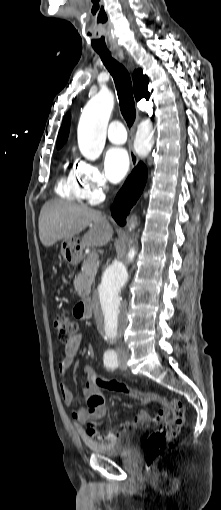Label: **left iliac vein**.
<instances>
[{"instance_id":"4c4485c4","label":"left iliac vein","mask_w":221,"mask_h":510,"mask_svg":"<svg viewBox=\"0 0 221 510\" xmlns=\"http://www.w3.org/2000/svg\"><path fill=\"white\" fill-rule=\"evenodd\" d=\"M127 358H128V355L126 353L121 354L119 357V367L122 370L127 369V364H126Z\"/></svg>"}]
</instances>
